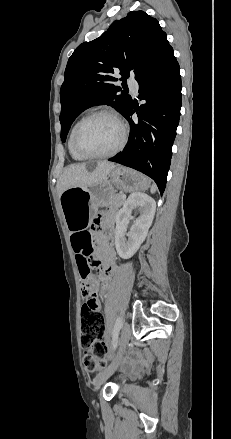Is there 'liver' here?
<instances>
[{
    "label": "liver",
    "mask_w": 231,
    "mask_h": 439,
    "mask_svg": "<svg viewBox=\"0 0 231 439\" xmlns=\"http://www.w3.org/2000/svg\"><path fill=\"white\" fill-rule=\"evenodd\" d=\"M115 167L114 163L107 161L98 162L93 171H88L84 163L69 165L57 182L59 197L71 187H90L102 181Z\"/></svg>",
    "instance_id": "liver-1"
}]
</instances>
